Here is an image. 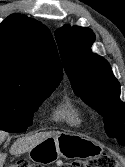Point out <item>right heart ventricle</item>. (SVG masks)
Segmentation results:
<instances>
[{
	"label": "right heart ventricle",
	"instance_id": "right-heart-ventricle-1",
	"mask_svg": "<svg viewBox=\"0 0 125 167\" xmlns=\"http://www.w3.org/2000/svg\"><path fill=\"white\" fill-rule=\"evenodd\" d=\"M51 119L54 122L77 127L82 124L83 115L74 103H72L69 99H64L53 109Z\"/></svg>",
	"mask_w": 125,
	"mask_h": 167
}]
</instances>
